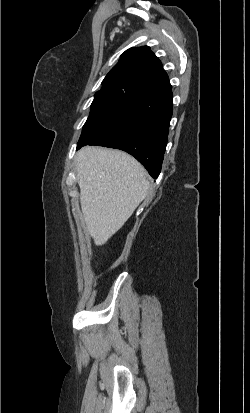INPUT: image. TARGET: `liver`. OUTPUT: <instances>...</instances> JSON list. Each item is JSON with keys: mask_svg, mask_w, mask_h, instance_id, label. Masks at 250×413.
<instances>
[{"mask_svg": "<svg viewBox=\"0 0 250 413\" xmlns=\"http://www.w3.org/2000/svg\"><path fill=\"white\" fill-rule=\"evenodd\" d=\"M76 161L82 214L89 235L101 246L130 218L150 184L144 167L120 150L86 146Z\"/></svg>", "mask_w": 250, "mask_h": 413, "instance_id": "liver-1", "label": "liver"}]
</instances>
